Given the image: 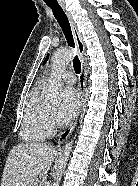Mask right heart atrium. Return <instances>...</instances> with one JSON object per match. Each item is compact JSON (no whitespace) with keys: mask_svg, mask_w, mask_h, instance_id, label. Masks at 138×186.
Returning <instances> with one entry per match:
<instances>
[{"mask_svg":"<svg viewBox=\"0 0 138 186\" xmlns=\"http://www.w3.org/2000/svg\"><path fill=\"white\" fill-rule=\"evenodd\" d=\"M48 122H49L50 129H53L55 127V121L51 116L48 118Z\"/></svg>","mask_w":138,"mask_h":186,"instance_id":"obj_1","label":"right heart atrium"}]
</instances>
